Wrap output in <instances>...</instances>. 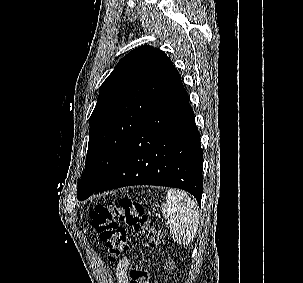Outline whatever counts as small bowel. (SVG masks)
Wrapping results in <instances>:
<instances>
[{
  "label": "small bowel",
  "instance_id": "c3829d8e",
  "mask_svg": "<svg viewBox=\"0 0 303 283\" xmlns=\"http://www.w3.org/2000/svg\"><path fill=\"white\" fill-rule=\"evenodd\" d=\"M128 268L129 260L127 258L121 259L115 269L116 283H129L127 275Z\"/></svg>",
  "mask_w": 303,
  "mask_h": 283
}]
</instances>
